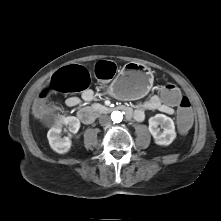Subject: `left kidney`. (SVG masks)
Here are the masks:
<instances>
[{
    "instance_id": "left-kidney-1",
    "label": "left kidney",
    "mask_w": 221,
    "mask_h": 221,
    "mask_svg": "<svg viewBox=\"0 0 221 221\" xmlns=\"http://www.w3.org/2000/svg\"><path fill=\"white\" fill-rule=\"evenodd\" d=\"M159 125L163 131L158 127ZM149 131L158 145H170L176 138L174 122L164 114H156L149 119Z\"/></svg>"
}]
</instances>
